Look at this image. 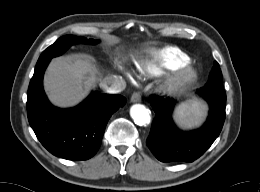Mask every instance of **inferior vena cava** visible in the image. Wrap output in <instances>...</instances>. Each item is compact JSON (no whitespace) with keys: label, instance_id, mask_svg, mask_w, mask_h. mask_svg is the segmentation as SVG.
Instances as JSON below:
<instances>
[{"label":"inferior vena cava","instance_id":"inferior-vena-cava-1","mask_svg":"<svg viewBox=\"0 0 260 192\" xmlns=\"http://www.w3.org/2000/svg\"><path fill=\"white\" fill-rule=\"evenodd\" d=\"M100 87L107 93L117 94L123 91L126 83L116 76H107L100 82Z\"/></svg>","mask_w":260,"mask_h":192}]
</instances>
